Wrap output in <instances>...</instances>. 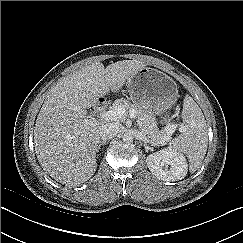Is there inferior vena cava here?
Here are the masks:
<instances>
[{
    "instance_id": "obj_1",
    "label": "inferior vena cava",
    "mask_w": 243,
    "mask_h": 243,
    "mask_svg": "<svg viewBox=\"0 0 243 243\" xmlns=\"http://www.w3.org/2000/svg\"><path fill=\"white\" fill-rule=\"evenodd\" d=\"M121 131V124L117 122L106 123L100 127V137L102 140H108L116 136Z\"/></svg>"
}]
</instances>
